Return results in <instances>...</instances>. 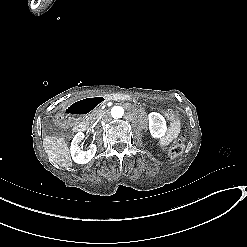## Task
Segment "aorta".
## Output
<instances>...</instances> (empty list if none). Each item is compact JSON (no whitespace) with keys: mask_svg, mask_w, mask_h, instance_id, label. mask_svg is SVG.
I'll list each match as a JSON object with an SVG mask.
<instances>
[{"mask_svg":"<svg viewBox=\"0 0 247 247\" xmlns=\"http://www.w3.org/2000/svg\"><path fill=\"white\" fill-rule=\"evenodd\" d=\"M111 115L115 119L122 118L124 115V108L121 106H114L111 109Z\"/></svg>","mask_w":247,"mask_h":247,"instance_id":"762f6f07","label":"aorta"}]
</instances>
